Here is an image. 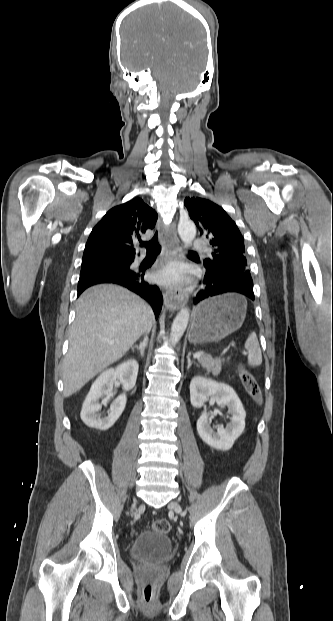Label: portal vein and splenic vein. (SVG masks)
I'll list each match as a JSON object with an SVG mask.
<instances>
[{"mask_svg":"<svg viewBox=\"0 0 333 621\" xmlns=\"http://www.w3.org/2000/svg\"><path fill=\"white\" fill-rule=\"evenodd\" d=\"M203 355H204V353H203V352H197V353H195V354L193 355V357H194V358H196V359H199V358H201Z\"/></svg>","mask_w":333,"mask_h":621,"instance_id":"obj_1","label":"portal vein and splenic vein"}]
</instances>
